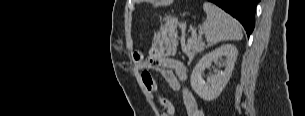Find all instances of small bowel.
Here are the masks:
<instances>
[{"label": "small bowel", "instance_id": "small-bowel-1", "mask_svg": "<svg viewBox=\"0 0 305 116\" xmlns=\"http://www.w3.org/2000/svg\"><path fill=\"white\" fill-rule=\"evenodd\" d=\"M134 62L137 69L142 70V80L147 92L162 106L164 112L161 116H174L175 107L165 97L157 96V82L150 75L148 70L155 69L161 73L166 80L169 88L172 91L181 89V82L187 79V67L181 61L173 59L165 54L158 44H153L149 50L148 55L141 52H135ZM149 73V78L144 76V73ZM182 103L186 110L187 116H204L203 110L198 105L193 93L187 87L182 90Z\"/></svg>", "mask_w": 305, "mask_h": 116}]
</instances>
